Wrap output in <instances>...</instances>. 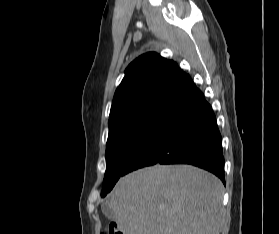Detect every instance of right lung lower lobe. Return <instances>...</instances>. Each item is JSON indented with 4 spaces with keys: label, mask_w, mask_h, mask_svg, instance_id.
I'll return each instance as SVG.
<instances>
[{
    "label": "right lung lower lobe",
    "mask_w": 279,
    "mask_h": 234,
    "mask_svg": "<svg viewBox=\"0 0 279 234\" xmlns=\"http://www.w3.org/2000/svg\"><path fill=\"white\" fill-rule=\"evenodd\" d=\"M221 134L211 106L194 85L173 104L138 146L124 175L154 164H191L214 173L225 184Z\"/></svg>",
    "instance_id": "right-lung-lower-lobe-1"
}]
</instances>
